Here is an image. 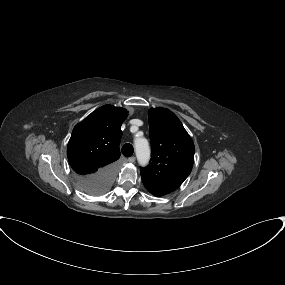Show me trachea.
<instances>
[{"mask_svg": "<svg viewBox=\"0 0 285 285\" xmlns=\"http://www.w3.org/2000/svg\"><path fill=\"white\" fill-rule=\"evenodd\" d=\"M122 154L126 157H130L133 154V146L129 143L124 144L123 147L121 148Z\"/></svg>", "mask_w": 285, "mask_h": 285, "instance_id": "1", "label": "trachea"}]
</instances>
